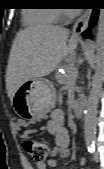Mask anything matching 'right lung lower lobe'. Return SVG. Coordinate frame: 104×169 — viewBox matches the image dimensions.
<instances>
[{
	"mask_svg": "<svg viewBox=\"0 0 104 169\" xmlns=\"http://www.w3.org/2000/svg\"><path fill=\"white\" fill-rule=\"evenodd\" d=\"M82 35H83L84 37H87V38H91V37H92V35H91V33H90L89 30L83 32Z\"/></svg>",
	"mask_w": 104,
	"mask_h": 169,
	"instance_id": "1",
	"label": "right lung lower lobe"
}]
</instances>
